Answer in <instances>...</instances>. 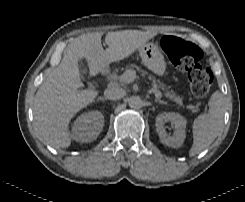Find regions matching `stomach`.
<instances>
[{
    "mask_svg": "<svg viewBox=\"0 0 245 202\" xmlns=\"http://www.w3.org/2000/svg\"><path fill=\"white\" fill-rule=\"evenodd\" d=\"M139 55L143 64L158 76H163L166 71V62L158 45L147 42L139 48Z\"/></svg>",
    "mask_w": 245,
    "mask_h": 202,
    "instance_id": "stomach-1",
    "label": "stomach"
}]
</instances>
